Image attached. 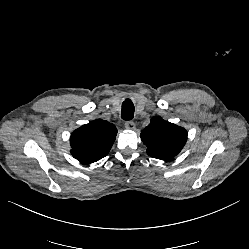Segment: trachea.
Listing matches in <instances>:
<instances>
[{
    "mask_svg": "<svg viewBox=\"0 0 249 249\" xmlns=\"http://www.w3.org/2000/svg\"><path fill=\"white\" fill-rule=\"evenodd\" d=\"M134 116V105L130 98L125 99L122 103L121 117L124 120H131Z\"/></svg>",
    "mask_w": 249,
    "mask_h": 249,
    "instance_id": "1",
    "label": "trachea"
}]
</instances>
